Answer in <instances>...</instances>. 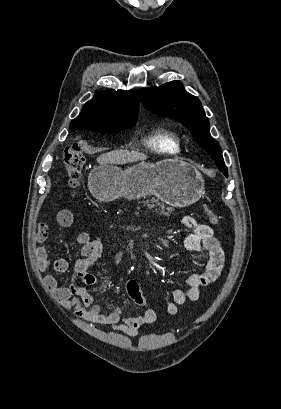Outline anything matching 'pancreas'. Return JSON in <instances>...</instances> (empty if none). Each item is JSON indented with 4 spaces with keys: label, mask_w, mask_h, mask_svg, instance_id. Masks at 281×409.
Returning a JSON list of instances; mask_svg holds the SVG:
<instances>
[{
    "label": "pancreas",
    "mask_w": 281,
    "mask_h": 409,
    "mask_svg": "<svg viewBox=\"0 0 281 409\" xmlns=\"http://www.w3.org/2000/svg\"><path fill=\"white\" fill-rule=\"evenodd\" d=\"M153 202H156V205H159V207H161V215H169L168 211H172V209H166L165 211V205H161V202H158V200H156V198H152ZM146 202H148V200H146Z\"/></svg>",
    "instance_id": "cf45deb5"
}]
</instances>
